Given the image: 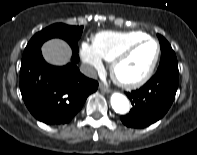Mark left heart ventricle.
<instances>
[{"instance_id": "b2bd125f", "label": "left heart ventricle", "mask_w": 197, "mask_h": 155, "mask_svg": "<svg viewBox=\"0 0 197 155\" xmlns=\"http://www.w3.org/2000/svg\"><path fill=\"white\" fill-rule=\"evenodd\" d=\"M156 52V45L147 42L138 47L124 62L118 67L120 77L125 80H135L140 78L150 66Z\"/></svg>"}]
</instances>
